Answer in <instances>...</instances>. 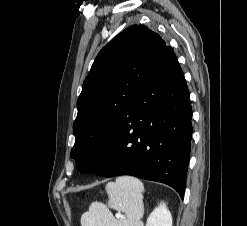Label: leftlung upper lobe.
<instances>
[{"instance_id": "1", "label": "left lung upper lobe", "mask_w": 247, "mask_h": 226, "mask_svg": "<svg viewBox=\"0 0 247 226\" xmlns=\"http://www.w3.org/2000/svg\"><path fill=\"white\" fill-rule=\"evenodd\" d=\"M165 46L157 33L133 25L101 49L84 80L73 124L76 140L70 156L80 172L92 154L113 135Z\"/></svg>"}]
</instances>
